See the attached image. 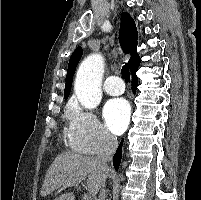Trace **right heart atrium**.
<instances>
[{"label":"right heart atrium","instance_id":"1","mask_svg":"<svg viewBox=\"0 0 201 200\" xmlns=\"http://www.w3.org/2000/svg\"><path fill=\"white\" fill-rule=\"evenodd\" d=\"M67 119L69 125L66 136L75 151L96 154L115 148L116 138L103 126L93 111L72 104L67 111Z\"/></svg>","mask_w":201,"mask_h":200}]
</instances>
